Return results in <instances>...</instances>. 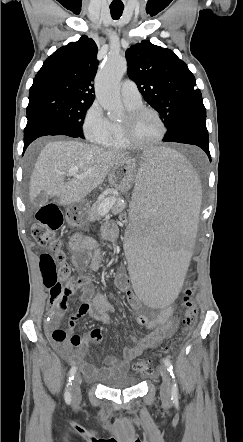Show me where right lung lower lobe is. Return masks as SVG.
Returning <instances> with one entry per match:
<instances>
[{
	"label": "right lung lower lobe",
	"mask_w": 243,
	"mask_h": 442,
	"mask_svg": "<svg viewBox=\"0 0 243 442\" xmlns=\"http://www.w3.org/2000/svg\"><path fill=\"white\" fill-rule=\"evenodd\" d=\"M28 122L24 129V150L35 139L46 135H67L80 137L68 125L60 120L42 113H34L27 117Z\"/></svg>",
	"instance_id": "98d812e1"
}]
</instances>
